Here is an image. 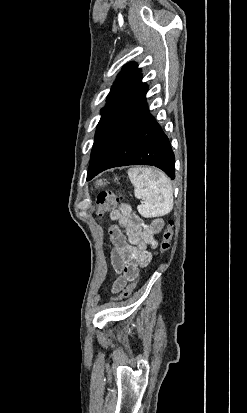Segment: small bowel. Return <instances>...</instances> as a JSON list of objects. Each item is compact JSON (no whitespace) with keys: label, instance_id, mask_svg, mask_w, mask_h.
Here are the masks:
<instances>
[{"label":"small bowel","instance_id":"small-bowel-1","mask_svg":"<svg viewBox=\"0 0 247 413\" xmlns=\"http://www.w3.org/2000/svg\"><path fill=\"white\" fill-rule=\"evenodd\" d=\"M110 219L117 225L109 230L113 245L111 264L116 272H123L125 279H132L139 268L146 267L152 260L148 247H156V237L163 229V220L155 219L145 223L129 204H120L110 211ZM126 280H115L113 290L124 292Z\"/></svg>","mask_w":247,"mask_h":413}]
</instances>
